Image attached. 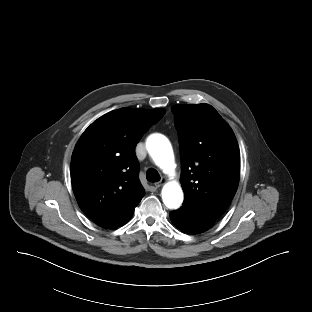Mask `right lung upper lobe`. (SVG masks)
<instances>
[{
  "label": "right lung upper lobe",
  "mask_w": 312,
  "mask_h": 312,
  "mask_svg": "<svg viewBox=\"0 0 312 312\" xmlns=\"http://www.w3.org/2000/svg\"><path fill=\"white\" fill-rule=\"evenodd\" d=\"M164 109L121 108L92 123L71 157V182L80 209L103 228L133 215L144 195L135 146Z\"/></svg>",
  "instance_id": "right-lung-upper-lobe-1"
}]
</instances>
